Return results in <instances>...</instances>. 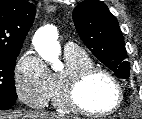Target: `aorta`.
Masks as SVG:
<instances>
[{"label": "aorta", "mask_w": 142, "mask_h": 119, "mask_svg": "<svg viewBox=\"0 0 142 119\" xmlns=\"http://www.w3.org/2000/svg\"><path fill=\"white\" fill-rule=\"evenodd\" d=\"M36 51L42 59L51 63L54 70L61 68L59 60L60 44L58 42V30L53 25H45L39 28L33 38Z\"/></svg>", "instance_id": "1"}]
</instances>
